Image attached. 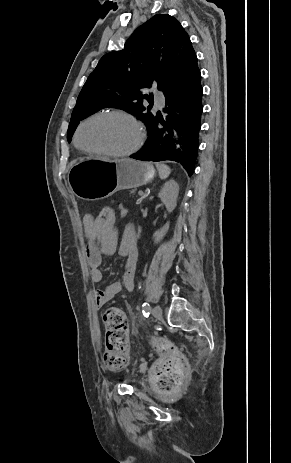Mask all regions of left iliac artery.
Returning <instances> with one entry per match:
<instances>
[{
    "instance_id": "1",
    "label": "left iliac artery",
    "mask_w": 291,
    "mask_h": 463,
    "mask_svg": "<svg viewBox=\"0 0 291 463\" xmlns=\"http://www.w3.org/2000/svg\"><path fill=\"white\" fill-rule=\"evenodd\" d=\"M142 307H143V310H142L143 315H144L145 317H148V316H149V313H150V305H149V303L144 302L143 305H142Z\"/></svg>"
}]
</instances>
